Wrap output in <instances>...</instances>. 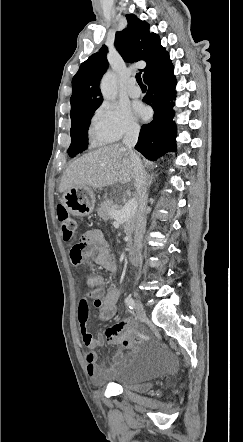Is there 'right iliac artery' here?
<instances>
[{
	"mask_svg": "<svg viewBox=\"0 0 243 442\" xmlns=\"http://www.w3.org/2000/svg\"><path fill=\"white\" fill-rule=\"evenodd\" d=\"M125 304L131 310L135 308V302L131 296L125 298Z\"/></svg>",
	"mask_w": 243,
	"mask_h": 442,
	"instance_id": "right-iliac-artery-1",
	"label": "right iliac artery"
}]
</instances>
